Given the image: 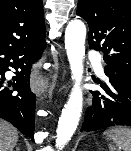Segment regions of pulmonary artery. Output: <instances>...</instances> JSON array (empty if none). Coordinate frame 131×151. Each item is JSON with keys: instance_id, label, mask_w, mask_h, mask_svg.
I'll return each mask as SVG.
<instances>
[{"instance_id": "1", "label": "pulmonary artery", "mask_w": 131, "mask_h": 151, "mask_svg": "<svg viewBox=\"0 0 131 151\" xmlns=\"http://www.w3.org/2000/svg\"><path fill=\"white\" fill-rule=\"evenodd\" d=\"M90 58H91V60L93 62L95 72L98 75L103 76L104 75V70H103V67H102V65L100 63L99 58L95 54H91Z\"/></svg>"}]
</instances>
